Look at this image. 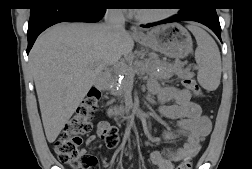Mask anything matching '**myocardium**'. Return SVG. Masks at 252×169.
<instances>
[{
    "label": "myocardium",
    "mask_w": 252,
    "mask_h": 169,
    "mask_svg": "<svg viewBox=\"0 0 252 169\" xmlns=\"http://www.w3.org/2000/svg\"><path fill=\"white\" fill-rule=\"evenodd\" d=\"M169 15L170 13L166 11L160 14H156V15H141L138 12H135V17L139 21L145 22V23L159 21V20L167 18Z\"/></svg>",
    "instance_id": "myocardium-1"
}]
</instances>
